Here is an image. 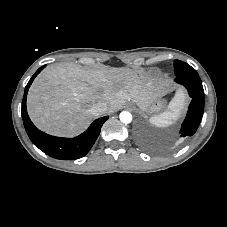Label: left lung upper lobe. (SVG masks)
<instances>
[{
  "label": "left lung upper lobe",
  "mask_w": 227,
  "mask_h": 227,
  "mask_svg": "<svg viewBox=\"0 0 227 227\" xmlns=\"http://www.w3.org/2000/svg\"><path fill=\"white\" fill-rule=\"evenodd\" d=\"M174 70L176 77L200 78L194 68L180 60L174 61Z\"/></svg>",
  "instance_id": "obj_1"
}]
</instances>
